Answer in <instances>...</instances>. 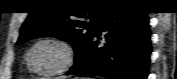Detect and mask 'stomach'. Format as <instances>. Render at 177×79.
Here are the masks:
<instances>
[{
	"label": "stomach",
	"mask_w": 177,
	"mask_h": 79,
	"mask_svg": "<svg viewBox=\"0 0 177 79\" xmlns=\"http://www.w3.org/2000/svg\"><path fill=\"white\" fill-rule=\"evenodd\" d=\"M75 79H89L88 77H76Z\"/></svg>",
	"instance_id": "1"
}]
</instances>
